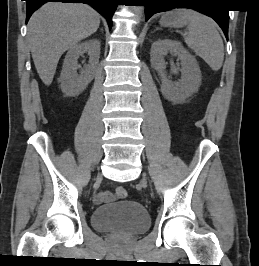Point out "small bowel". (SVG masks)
Here are the masks:
<instances>
[{
  "label": "small bowel",
  "instance_id": "obj_1",
  "mask_svg": "<svg viewBox=\"0 0 259 266\" xmlns=\"http://www.w3.org/2000/svg\"><path fill=\"white\" fill-rule=\"evenodd\" d=\"M114 199H115V196L111 192H108V191L99 192L94 197V201L97 204H103L106 202H111Z\"/></svg>",
  "mask_w": 259,
  "mask_h": 266
}]
</instances>
